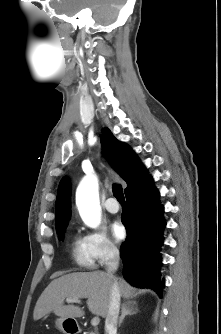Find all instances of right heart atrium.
Wrapping results in <instances>:
<instances>
[{
  "instance_id": "obj_1",
  "label": "right heart atrium",
  "mask_w": 221,
  "mask_h": 334,
  "mask_svg": "<svg viewBox=\"0 0 221 334\" xmlns=\"http://www.w3.org/2000/svg\"><path fill=\"white\" fill-rule=\"evenodd\" d=\"M86 243L94 262L104 265L115 258L119 249L103 229H94L85 236Z\"/></svg>"
}]
</instances>
